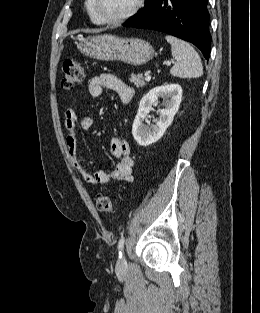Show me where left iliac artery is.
I'll return each mask as SVG.
<instances>
[{
	"mask_svg": "<svg viewBox=\"0 0 260 313\" xmlns=\"http://www.w3.org/2000/svg\"><path fill=\"white\" fill-rule=\"evenodd\" d=\"M124 243H125V238L121 237V239L118 242L119 258L122 257V250H123V247H124Z\"/></svg>",
	"mask_w": 260,
	"mask_h": 313,
	"instance_id": "44dca946",
	"label": "left iliac artery"
}]
</instances>
